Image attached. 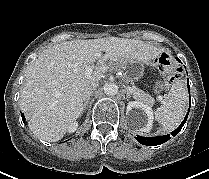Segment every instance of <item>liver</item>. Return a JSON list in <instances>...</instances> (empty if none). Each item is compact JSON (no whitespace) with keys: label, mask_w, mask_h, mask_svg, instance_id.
I'll use <instances>...</instances> for the list:
<instances>
[{"label":"liver","mask_w":209,"mask_h":179,"mask_svg":"<svg viewBox=\"0 0 209 179\" xmlns=\"http://www.w3.org/2000/svg\"><path fill=\"white\" fill-rule=\"evenodd\" d=\"M161 52L143 41L118 37L67 41L45 49L27 67L20 96L19 105L28 114L30 130L49 142L65 135L83 111L84 93L102 79L105 71L85 74L101 56L103 61L149 63Z\"/></svg>","instance_id":"obj_1"}]
</instances>
